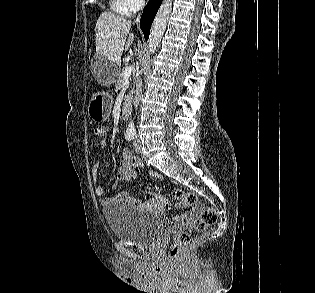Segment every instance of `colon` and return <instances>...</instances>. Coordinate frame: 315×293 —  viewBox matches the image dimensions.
<instances>
[{"instance_id":"obj_1","label":"colon","mask_w":315,"mask_h":293,"mask_svg":"<svg viewBox=\"0 0 315 293\" xmlns=\"http://www.w3.org/2000/svg\"><path fill=\"white\" fill-rule=\"evenodd\" d=\"M95 133L99 137H104L107 134V129L105 126L101 125L96 127ZM173 196L183 206H196L197 208H201L197 201V197L192 192L175 189L173 191ZM216 221V211L213 208H204L199 217L192 218L185 223V230H175L173 228V237L169 247V257L174 261L180 259L190 243L191 232L194 230H202L215 224Z\"/></svg>"}]
</instances>
